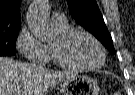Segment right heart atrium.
Returning a JSON list of instances; mask_svg holds the SVG:
<instances>
[{
  "mask_svg": "<svg viewBox=\"0 0 135 95\" xmlns=\"http://www.w3.org/2000/svg\"><path fill=\"white\" fill-rule=\"evenodd\" d=\"M17 47L28 60L43 63L49 59L48 48L28 28L20 31L17 38Z\"/></svg>",
  "mask_w": 135,
  "mask_h": 95,
  "instance_id": "obj_1",
  "label": "right heart atrium"
}]
</instances>
